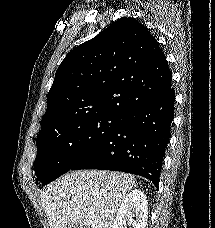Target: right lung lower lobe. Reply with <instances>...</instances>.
<instances>
[{"label":"right lung lower lobe","instance_id":"1","mask_svg":"<svg viewBox=\"0 0 215 228\" xmlns=\"http://www.w3.org/2000/svg\"><path fill=\"white\" fill-rule=\"evenodd\" d=\"M172 75L159 96L129 109L111 132L71 170L101 169L146 177L158 187L174 118Z\"/></svg>","mask_w":215,"mask_h":228}]
</instances>
